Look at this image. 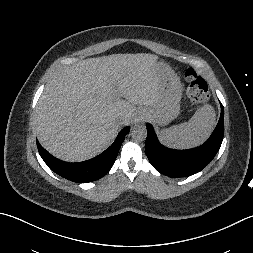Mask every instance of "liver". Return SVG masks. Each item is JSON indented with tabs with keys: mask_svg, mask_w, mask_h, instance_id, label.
Listing matches in <instances>:
<instances>
[{
	"mask_svg": "<svg viewBox=\"0 0 253 253\" xmlns=\"http://www.w3.org/2000/svg\"><path fill=\"white\" fill-rule=\"evenodd\" d=\"M158 61L152 54H113L65 66L51 77L34 112L40 144L68 162L104 151L136 106L160 100Z\"/></svg>",
	"mask_w": 253,
	"mask_h": 253,
	"instance_id": "1",
	"label": "liver"
}]
</instances>
